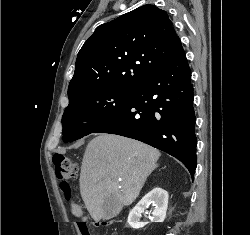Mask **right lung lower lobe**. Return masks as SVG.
<instances>
[{
    "label": "right lung lower lobe",
    "mask_w": 250,
    "mask_h": 235,
    "mask_svg": "<svg viewBox=\"0 0 250 235\" xmlns=\"http://www.w3.org/2000/svg\"><path fill=\"white\" fill-rule=\"evenodd\" d=\"M191 70L181 42L168 63L145 78L130 100L93 133L133 138L158 148L196 169L195 120Z\"/></svg>",
    "instance_id": "98d812e1"
}]
</instances>
